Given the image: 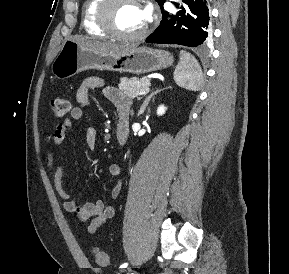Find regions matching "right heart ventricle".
<instances>
[{"instance_id": "obj_1", "label": "right heart ventricle", "mask_w": 289, "mask_h": 274, "mask_svg": "<svg viewBox=\"0 0 289 274\" xmlns=\"http://www.w3.org/2000/svg\"><path fill=\"white\" fill-rule=\"evenodd\" d=\"M102 0H86L82 10V25L84 30L91 35L104 37L107 34L97 23V10Z\"/></svg>"}]
</instances>
